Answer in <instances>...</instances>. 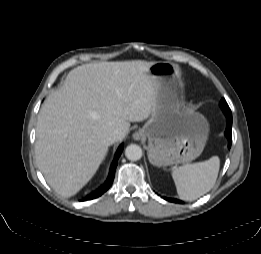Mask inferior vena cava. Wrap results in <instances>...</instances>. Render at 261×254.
I'll return each mask as SVG.
<instances>
[{
  "label": "inferior vena cava",
  "mask_w": 261,
  "mask_h": 254,
  "mask_svg": "<svg viewBox=\"0 0 261 254\" xmlns=\"http://www.w3.org/2000/svg\"><path fill=\"white\" fill-rule=\"evenodd\" d=\"M119 138V134L117 131H113L111 133H109L105 139L107 145H111L113 144L115 141H117Z\"/></svg>",
  "instance_id": "602c4592"
}]
</instances>
